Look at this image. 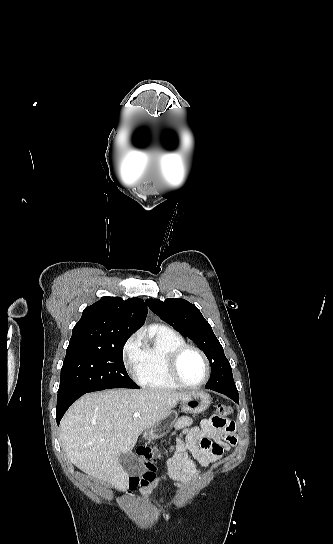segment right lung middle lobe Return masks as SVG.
<instances>
[{
    "label": "right lung middle lobe",
    "instance_id": "right-lung-middle-lobe-1",
    "mask_svg": "<svg viewBox=\"0 0 333 544\" xmlns=\"http://www.w3.org/2000/svg\"><path fill=\"white\" fill-rule=\"evenodd\" d=\"M130 336H121L104 347L67 349L58 391H99L111 388L138 389L123 363V347Z\"/></svg>",
    "mask_w": 333,
    "mask_h": 544
}]
</instances>
